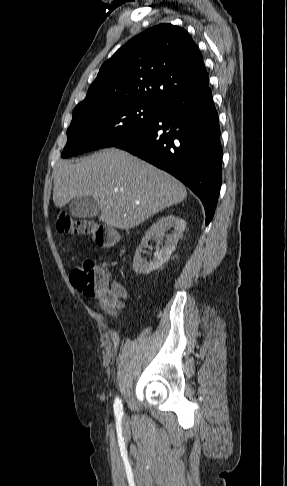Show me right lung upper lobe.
I'll use <instances>...</instances> for the list:
<instances>
[{
	"instance_id": "1",
	"label": "right lung upper lobe",
	"mask_w": 287,
	"mask_h": 486,
	"mask_svg": "<svg viewBox=\"0 0 287 486\" xmlns=\"http://www.w3.org/2000/svg\"><path fill=\"white\" fill-rule=\"evenodd\" d=\"M208 84L203 56L188 32L160 24L133 37L103 63L74 111L115 100L161 105Z\"/></svg>"
}]
</instances>
